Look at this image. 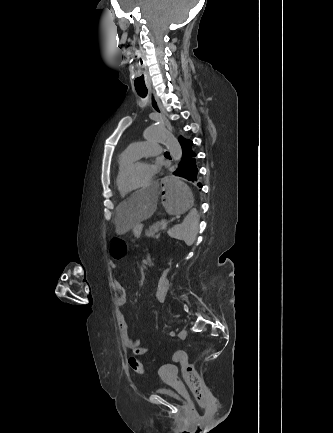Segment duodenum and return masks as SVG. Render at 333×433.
Returning <instances> with one entry per match:
<instances>
[{"instance_id": "duodenum-1", "label": "duodenum", "mask_w": 333, "mask_h": 433, "mask_svg": "<svg viewBox=\"0 0 333 433\" xmlns=\"http://www.w3.org/2000/svg\"><path fill=\"white\" fill-rule=\"evenodd\" d=\"M147 261H148L149 263H151V257H150V256L147 257Z\"/></svg>"}]
</instances>
